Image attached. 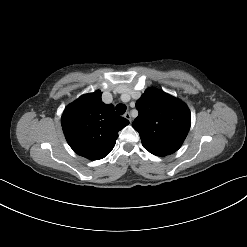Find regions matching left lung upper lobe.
<instances>
[{"label":"left lung upper lobe","mask_w":247,"mask_h":247,"mask_svg":"<svg viewBox=\"0 0 247 247\" xmlns=\"http://www.w3.org/2000/svg\"><path fill=\"white\" fill-rule=\"evenodd\" d=\"M139 112L132 127L150 153L166 156L176 152L190 129V112L179 99L148 88L136 102Z\"/></svg>","instance_id":"1"}]
</instances>
